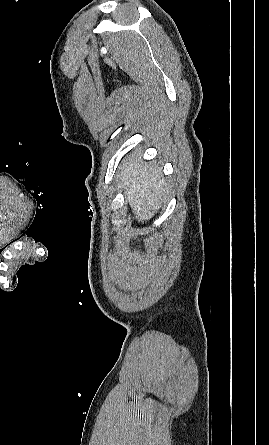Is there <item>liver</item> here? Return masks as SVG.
Instances as JSON below:
<instances>
[{
    "label": "liver",
    "mask_w": 269,
    "mask_h": 445,
    "mask_svg": "<svg viewBox=\"0 0 269 445\" xmlns=\"http://www.w3.org/2000/svg\"><path fill=\"white\" fill-rule=\"evenodd\" d=\"M119 174V187L140 222L150 220L159 210L168 192V184L161 170L143 163L139 157L123 160Z\"/></svg>",
    "instance_id": "liver-1"
}]
</instances>
